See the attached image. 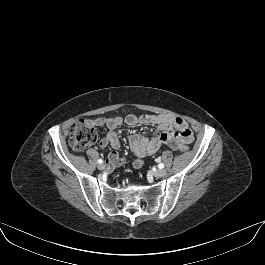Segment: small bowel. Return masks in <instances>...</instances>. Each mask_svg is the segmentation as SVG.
<instances>
[{
    "mask_svg": "<svg viewBox=\"0 0 265 265\" xmlns=\"http://www.w3.org/2000/svg\"><path fill=\"white\" fill-rule=\"evenodd\" d=\"M93 126L106 127L108 133L100 141V147L105 148L111 146L114 150L120 147V141L116 134V129L124 122L129 126L136 125H154L156 126L155 135L149 137L140 134L128 135L127 139L132 152L137 157L133 162L135 168H140L143 165L142 158L156 153L161 145H169L172 140H178L184 144H189L193 140V133L189 129L185 120L171 115L159 114H145L136 116L129 114L123 120L122 117H97L88 121ZM124 159L120 158L114 151L109 155V162L111 166H119L124 163Z\"/></svg>",
    "mask_w": 265,
    "mask_h": 265,
    "instance_id": "obj_1",
    "label": "small bowel"
}]
</instances>
